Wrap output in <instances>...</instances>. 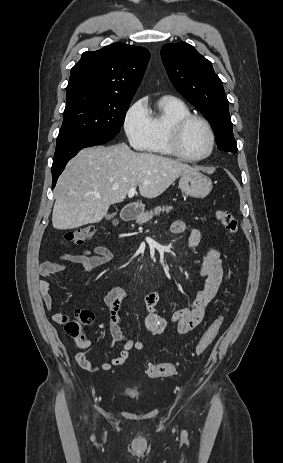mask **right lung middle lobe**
I'll return each mask as SVG.
<instances>
[{
	"label": "right lung middle lobe",
	"mask_w": 283,
	"mask_h": 463,
	"mask_svg": "<svg viewBox=\"0 0 283 463\" xmlns=\"http://www.w3.org/2000/svg\"><path fill=\"white\" fill-rule=\"evenodd\" d=\"M131 100L84 91L67 95L57 144L86 136H116Z\"/></svg>",
	"instance_id": "obj_1"
}]
</instances>
